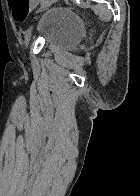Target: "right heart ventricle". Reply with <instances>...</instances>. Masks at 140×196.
I'll return each instance as SVG.
<instances>
[{
  "label": "right heart ventricle",
  "mask_w": 140,
  "mask_h": 196,
  "mask_svg": "<svg viewBox=\"0 0 140 196\" xmlns=\"http://www.w3.org/2000/svg\"><path fill=\"white\" fill-rule=\"evenodd\" d=\"M1 192H35V191H1Z\"/></svg>",
  "instance_id": "e07e8e85"
}]
</instances>
